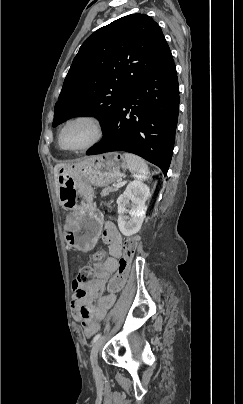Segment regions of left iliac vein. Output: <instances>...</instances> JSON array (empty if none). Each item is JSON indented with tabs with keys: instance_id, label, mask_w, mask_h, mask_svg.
I'll use <instances>...</instances> for the list:
<instances>
[{
	"instance_id": "left-iliac-vein-1",
	"label": "left iliac vein",
	"mask_w": 243,
	"mask_h": 404,
	"mask_svg": "<svg viewBox=\"0 0 243 404\" xmlns=\"http://www.w3.org/2000/svg\"><path fill=\"white\" fill-rule=\"evenodd\" d=\"M105 337H101L98 339L92 346L91 349V354H90V360H91V365L93 367L94 371H98V352L102 344L104 343Z\"/></svg>"
}]
</instances>
